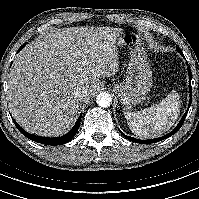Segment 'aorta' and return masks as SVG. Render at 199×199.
<instances>
[{"label":"aorta","instance_id":"1","mask_svg":"<svg viewBox=\"0 0 199 199\" xmlns=\"http://www.w3.org/2000/svg\"><path fill=\"white\" fill-rule=\"evenodd\" d=\"M96 103L100 107L107 108L112 103V97L109 93L101 92L96 97Z\"/></svg>","mask_w":199,"mask_h":199}]
</instances>
